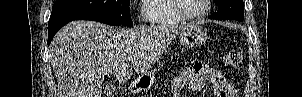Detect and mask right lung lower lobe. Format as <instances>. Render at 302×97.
Instances as JSON below:
<instances>
[{"instance_id": "right-lung-lower-lobe-1", "label": "right lung lower lobe", "mask_w": 302, "mask_h": 97, "mask_svg": "<svg viewBox=\"0 0 302 97\" xmlns=\"http://www.w3.org/2000/svg\"><path fill=\"white\" fill-rule=\"evenodd\" d=\"M73 20H92V21H98L101 23L109 24L112 26H121L119 22L113 19L98 14H92V13H82V14L61 17L53 21H49L48 23V45L51 43L57 31L60 28H62L65 24Z\"/></svg>"}]
</instances>
